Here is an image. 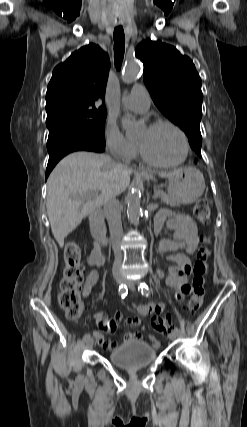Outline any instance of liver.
Returning a JSON list of instances; mask_svg holds the SVG:
<instances>
[{
  "mask_svg": "<svg viewBox=\"0 0 247 427\" xmlns=\"http://www.w3.org/2000/svg\"><path fill=\"white\" fill-rule=\"evenodd\" d=\"M132 170L104 154L79 151L63 158L47 181V214L60 247L82 220L107 198L126 190ZM172 173H162L169 177Z\"/></svg>",
  "mask_w": 247,
  "mask_h": 427,
  "instance_id": "obj_1",
  "label": "liver"
}]
</instances>
